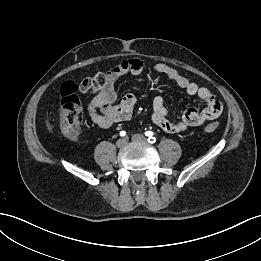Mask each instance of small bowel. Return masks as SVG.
Masks as SVG:
<instances>
[{"label": "small bowel", "mask_w": 261, "mask_h": 261, "mask_svg": "<svg viewBox=\"0 0 261 261\" xmlns=\"http://www.w3.org/2000/svg\"><path fill=\"white\" fill-rule=\"evenodd\" d=\"M143 69L144 63L142 60L132 58L120 62L105 73V86L96 91L87 108L88 115L95 125L100 128H109L130 118L137 101L136 96L133 93H127L120 101H117L115 82L126 73L139 75ZM153 71L167 76L188 95L197 96L206 103L201 111L196 108H189L179 120L171 121L168 119V110L165 106L164 97L162 95L155 96L151 119L162 130L168 133H181L191 127L214 120L221 114L223 105L208 88L199 86L196 82L182 75L177 69L164 63L156 64ZM80 88L85 93H91L83 88L82 83Z\"/></svg>", "instance_id": "c3829d8e"}]
</instances>
